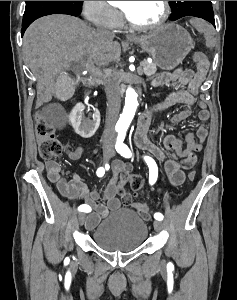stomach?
<instances>
[{"instance_id":"obj_1","label":"stomach","mask_w":237,"mask_h":300,"mask_svg":"<svg viewBox=\"0 0 237 300\" xmlns=\"http://www.w3.org/2000/svg\"><path fill=\"white\" fill-rule=\"evenodd\" d=\"M132 43L140 45L164 71H172L178 67L191 49H194L191 35L175 23H165L151 31L135 33Z\"/></svg>"}]
</instances>
